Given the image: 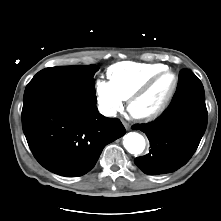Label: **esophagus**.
Here are the masks:
<instances>
[{
  "label": "esophagus",
  "instance_id": "1",
  "mask_svg": "<svg viewBox=\"0 0 221 221\" xmlns=\"http://www.w3.org/2000/svg\"><path fill=\"white\" fill-rule=\"evenodd\" d=\"M122 123H123L124 127L126 128V130H129V129H130V125H129L128 122L122 121Z\"/></svg>",
  "mask_w": 221,
  "mask_h": 221
}]
</instances>
